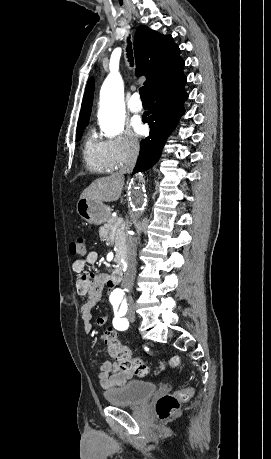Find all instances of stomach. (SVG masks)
<instances>
[{"label": "stomach", "instance_id": "0dacf381", "mask_svg": "<svg viewBox=\"0 0 271 459\" xmlns=\"http://www.w3.org/2000/svg\"><path fill=\"white\" fill-rule=\"evenodd\" d=\"M77 214H79L80 218H83L87 224L99 226V224L108 222L111 216V210L108 206H104L102 202H94V200L83 198V200H79L77 204Z\"/></svg>", "mask_w": 271, "mask_h": 459}]
</instances>
